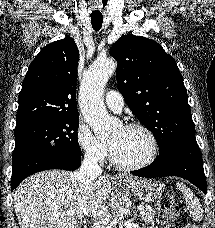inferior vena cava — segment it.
<instances>
[{
  "mask_svg": "<svg viewBox=\"0 0 215 228\" xmlns=\"http://www.w3.org/2000/svg\"><path fill=\"white\" fill-rule=\"evenodd\" d=\"M98 156H95L94 152H86L84 160L80 166L79 172H76L75 178L80 182L81 186H86V188H94V180L98 176H102V168H100ZM102 212H105L104 206H99ZM92 228H105L104 218H92L91 220Z\"/></svg>",
  "mask_w": 215,
  "mask_h": 228,
  "instance_id": "inferior-vena-cava-1",
  "label": "inferior vena cava"
}]
</instances>
